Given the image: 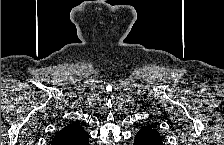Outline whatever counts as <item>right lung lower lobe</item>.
Returning <instances> with one entry per match:
<instances>
[{"label": "right lung lower lobe", "instance_id": "98d812e1", "mask_svg": "<svg viewBox=\"0 0 224 145\" xmlns=\"http://www.w3.org/2000/svg\"><path fill=\"white\" fill-rule=\"evenodd\" d=\"M88 140H89V138L87 140H85V141H82L81 145H87L88 144Z\"/></svg>", "mask_w": 224, "mask_h": 145}]
</instances>
